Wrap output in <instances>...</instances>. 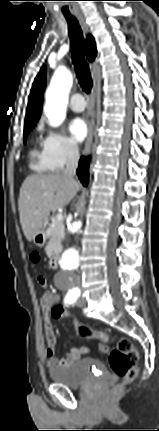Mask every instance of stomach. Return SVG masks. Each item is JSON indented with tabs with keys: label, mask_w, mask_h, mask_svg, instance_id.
<instances>
[{
	"label": "stomach",
	"mask_w": 159,
	"mask_h": 431,
	"mask_svg": "<svg viewBox=\"0 0 159 431\" xmlns=\"http://www.w3.org/2000/svg\"><path fill=\"white\" fill-rule=\"evenodd\" d=\"M32 240L37 246H43L46 240L45 233L43 231L39 232L33 237Z\"/></svg>",
	"instance_id": "1"
}]
</instances>
